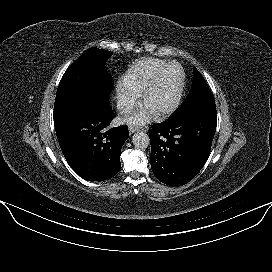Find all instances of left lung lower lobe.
<instances>
[{
    "instance_id": "left-lung-lower-lobe-1",
    "label": "left lung lower lobe",
    "mask_w": 272,
    "mask_h": 272,
    "mask_svg": "<svg viewBox=\"0 0 272 272\" xmlns=\"http://www.w3.org/2000/svg\"><path fill=\"white\" fill-rule=\"evenodd\" d=\"M216 125L215 106L172 115L153 125L149 137L155 177L174 187L191 181L209 157Z\"/></svg>"
}]
</instances>
